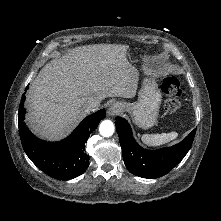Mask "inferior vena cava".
Instances as JSON below:
<instances>
[{"mask_svg": "<svg viewBox=\"0 0 221 221\" xmlns=\"http://www.w3.org/2000/svg\"><path fill=\"white\" fill-rule=\"evenodd\" d=\"M100 105V101L99 100H90L88 101L87 105H86V111L87 112H91L96 110Z\"/></svg>", "mask_w": 221, "mask_h": 221, "instance_id": "1", "label": "inferior vena cava"}]
</instances>
